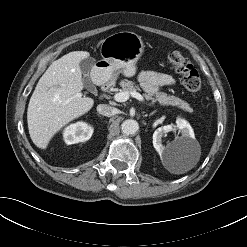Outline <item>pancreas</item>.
<instances>
[{
    "label": "pancreas",
    "mask_w": 247,
    "mask_h": 247,
    "mask_svg": "<svg viewBox=\"0 0 247 247\" xmlns=\"http://www.w3.org/2000/svg\"><path fill=\"white\" fill-rule=\"evenodd\" d=\"M120 86L122 87V90L126 92H133V91L136 92L140 90L138 85H135L134 82L129 81L127 79L122 80L120 82ZM145 97L149 100H152L153 102L158 101L162 105H172L186 112H189V113L193 112V109L190 107V105L186 101L176 96L169 95L165 92H158L156 95H145Z\"/></svg>",
    "instance_id": "pancreas-1"
}]
</instances>
